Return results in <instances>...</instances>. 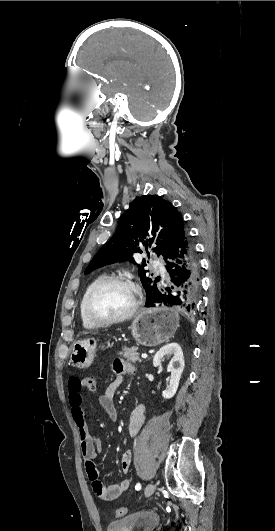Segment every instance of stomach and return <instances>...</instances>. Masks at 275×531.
<instances>
[{"label":"stomach","mask_w":275,"mask_h":531,"mask_svg":"<svg viewBox=\"0 0 275 531\" xmlns=\"http://www.w3.org/2000/svg\"><path fill=\"white\" fill-rule=\"evenodd\" d=\"M179 327V315L173 309H143L131 323V335L138 345L156 347L173 337ZM98 341L94 337L80 339L72 345V367L87 369L94 361Z\"/></svg>","instance_id":"stomach-1"}]
</instances>
